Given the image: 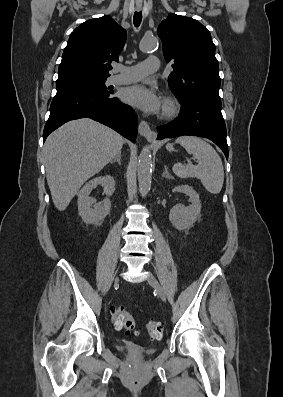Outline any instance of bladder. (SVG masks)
Returning <instances> with one entry per match:
<instances>
[{"label": "bladder", "instance_id": "1", "mask_svg": "<svg viewBox=\"0 0 283 397\" xmlns=\"http://www.w3.org/2000/svg\"><path fill=\"white\" fill-rule=\"evenodd\" d=\"M118 350L121 352H136L138 354L148 356L155 352L154 348H144L135 343L122 341L117 344Z\"/></svg>", "mask_w": 283, "mask_h": 397}]
</instances>
